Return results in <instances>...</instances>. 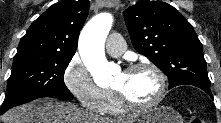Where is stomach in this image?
<instances>
[{"instance_id": "obj_1", "label": "stomach", "mask_w": 221, "mask_h": 123, "mask_svg": "<svg viewBox=\"0 0 221 123\" xmlns=\"http://www.w3.org/2000/svg\"><path fill=\"white\" fill-rule=\"evenodd\" d=\"M131 123H183V120L173 108L158 106L135 115Z\"/></svg>"}]
</instances>
